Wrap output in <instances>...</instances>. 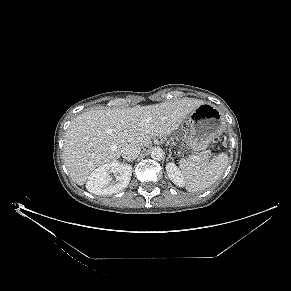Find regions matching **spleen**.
Here are the masks:
<instances>
[{
    "mask_svg": "<svg viewBox=\"0 0 291 291\" xmlns=\"http://www.w3.org/2000/svg\"><path fill=\"white\" fill-rule=\"evenodd\" d=\"M228 166V155L220 153L207 165H199L188 159L179 161L188 192H201L213 185L224 173Z\"/></svg>",
    "mask_w": 291,
    "mask_h": 291,
    "instance_id": "3e777b00",
    "label": "spleen"
}]
</instances>
